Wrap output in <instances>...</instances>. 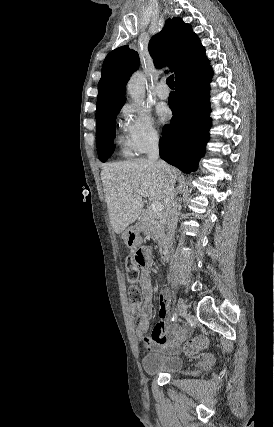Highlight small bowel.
Returning <instances> with one entry per match:
<instances>
[{
  "label": "small bowel",
  "mask_w": 274,
  "mask_h": 427,
  "mask_svg": "<svg viewBox=\"0 0 274 427\" xmlns=\"http://www.w3.org/2000/svg\"><path fill=\"white\" fill-rule=\"evenodd\" d=\"M146 256V262L141 267L136 283L142 293L143 301L140 308V317L136 323V333L139 336L142 350L144 352L156 351L166 354H177L181 351L182 345L190 336V330L185 328L176 332L168 333L167 325L171 319L169 309V296L162 292L158 298L160 321L154 327L150 337L144 334L150 328V321L153 312V286L149 263L152 258L150 248L142 250Z\"/></svg>",
  "instance_id": "small-bowel-1"
}]
</instances>
